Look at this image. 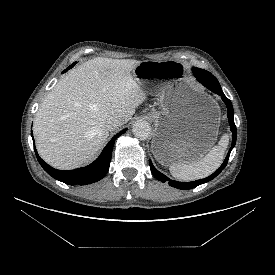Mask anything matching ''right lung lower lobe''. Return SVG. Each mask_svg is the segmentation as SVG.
Wrapping results in <instances>:
<instances>
[{
	"mask_svg": "<svg viewBox=\"0 0 275 275\" xmlns=\"http://www.w3.org/2000/svg\"><path fill=\"white\" fill-rule=\"evenodd\" d=\"M74 65V64H73ZM73 65L68 67L64 72H66L68 69L72 68ZM126 129L122 130L120 133L116 134L110 142L106 145V147L103 149L100 156L90 165L74 170L69 171H62L57 170L46 164L39 156L35 149L34 150L37 156V159L40 163V165L43 167V169L51 175L53 178L68 184V185H87L90 183H94L102 179L109 170V165L111 161V155L113 150V145L115 143V140L124 132ZM32 135V133H31ZM33 139V137H32ZM34 141V139H33Z\"/></svg>",
	"mask_w": 275,
	"mask_h": 275,
	"instance_id": "obj_1",
	"label": "right lung lower lobe"
}]
</instances>
